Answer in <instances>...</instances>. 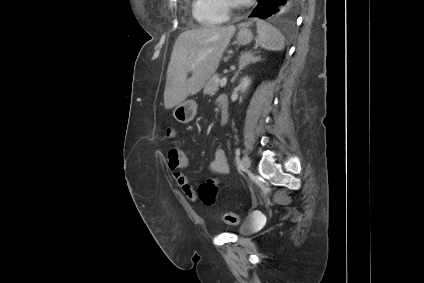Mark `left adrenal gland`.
Segmentation results:
<instances>
[{"label":"left adrenal gland","instance_id":"obj_1","mask_svg":"<svg viewBox=\"0 0 424 283\" xmlns=\"http://www.w3.org/2000/svg\"><path fill=\"white\" fill-rule=\"evenodd\" d=\"M255 53L256 52L248 51L241 56L239 61V69L235 73L234 77L232 78V82H234L237 79L238 75L241 73V70L246 68L251 63H256L258 61H261V56H255Z\"/></svg>","mask_w":424,"mask_h":283}]
</instances>
